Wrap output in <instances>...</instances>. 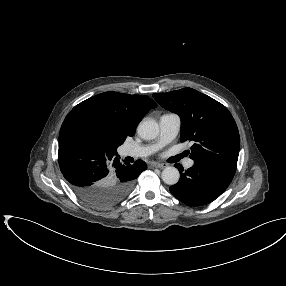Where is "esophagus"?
<instances>
[{
    "instance_id": "obj_1",
    "label": "esophagus",
    "mask_w": 286,
    "mask_h": 286,
    "mask_svg": "<svg viewBox=\"0 0 286 286\" xmlns=\"http://www.w3.org/2000/svg\"><path fill=\"white\" fill-rule=\"evenodd\" d=\"M151 165L153 167H155V168H165V167H167V164H165V163H157V162H155V163H152Z\"/></svg>"
}]
</instances>
